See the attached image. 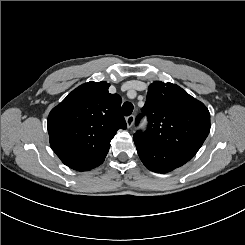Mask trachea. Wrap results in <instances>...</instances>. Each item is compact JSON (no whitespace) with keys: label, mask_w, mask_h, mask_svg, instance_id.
I'll list each match as a JSON object with an SVG mask.
<instances>
[{"label":"trachea","mask_w":245,"mask_h":245,"mask_svg":"<svg viewBox=\"0 0 245 245\" xmlns=\"http://www.w3.org/2000/svg\"><path fill=\"white\" fill-rule=\"evenodd\" d=\"M133 104L131 102H125L122 106V114L125 115V116H129L132 111H133Z\"/></svg>","instance_id":"1"}]
</instances>
